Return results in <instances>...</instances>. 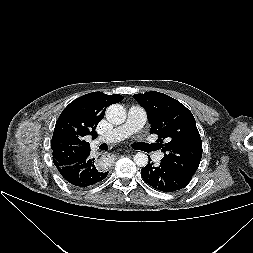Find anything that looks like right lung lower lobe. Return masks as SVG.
I'll return each mask as SVG.
<instances>
[{
    "label": "right lung lower lobe",
    "instance_id": "98d812e1",
    "mask_svg": "<svg viewBox=\"0 0 253 253\" xmlns=\"http://www.w3.org/2000/svg\"><path fill=\"white\" fill-rule=\"evenodd\" d=\"M62 177L77 187H88L102 181L108 172L97 169L94 158L90 156L72 165L57 167Z\"/></svg>",
    "mask_w": 253,
    "mask_h": 253
}]
</instances>
